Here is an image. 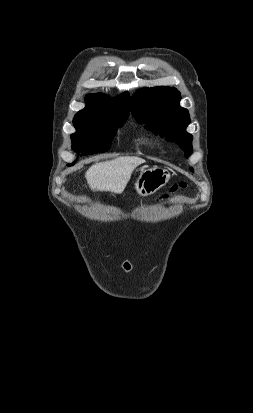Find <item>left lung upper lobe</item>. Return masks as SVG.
I'll list each match as a JSON object with an SVG mask.
<instances>
[{
  "label": "left lung upper lobe",
  "instance_id": "1",
  "mask_svg": "<svg viewBox=\"0 0 253 413\" xmlns=\"http://www.w3.org/2000/svg\"><path fill=\"white\" fill-rule=\"evenodd\" d=\"M180 93L176 88H145L131 99V112L145 128L176 142L185 150V157L192 153V135L186 132L190 124L187 109L179 106Z\"/></svg>",
  "mask_w": 253,
  "mask_h": 413
}]
</instances>
